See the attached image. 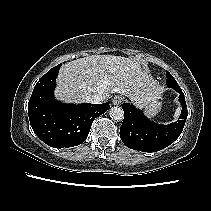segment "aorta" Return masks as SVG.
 <instances>
[{
	"mask_svg": "<svg viewBox=\"0 0 211 211\" xmlns=\"http://www.w3.org/2000/svg\"><path fill=\"white\" fill-rule=\"evenodd\" d=\"M109 115L112 119L116 121H121L124 118V111L120 107H112L109 110Z\"/></svg>",
	"mask_w": 211,
	"mask_h": 211,
	"instance_id": "aorta-1",
	"label": "aorta"
}]
</instances>
